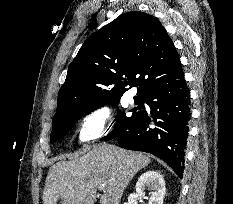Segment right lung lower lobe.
<instances>
[{
    "mask_svg": "<svg viewBox=\"0 0 233 204\" xmlns=\"http://www.w3.org/2000/svg\"><path fill=\"white\" fill-rule=\"evenodd\" d=\"M144 102L150 106L151 116L142 110L128 128L114 137L118 139L120 147L151 153L164 160L182 177L191 103L180 61L150 87ZM142 109H145L144 105ZM151 122L156 127H149Z\"/></svg>",
    "mask_w": 233,
    "mask_h": 204,
    "instance_id": "98d812e1",
    "label": "right lung lower lobe"
}]
</instances>
